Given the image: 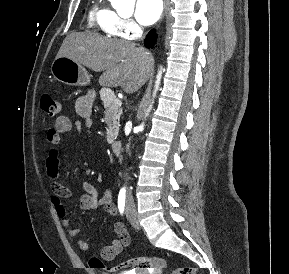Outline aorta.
I'll use <instances>...</instances> for the list:
<instances>
[{
	"mask_svg": "<svg viewBox=\"0 0 289 274\" xmlns=\"http://www.w3.org/2000/svg\"><path fill=\"white\" fill-rule=\"evenodd\" d=\"M113 7L120 9L123 7H127V6H131L132 1L134 0H110ZM160 78H161V72L159 73L158 77H157V81H156V90L158 88V85L160 83ZM139 131L143 130V125L138 127Z\"/></svg>",
	"mask_w": 289,
	"mask_h": 274,
	"instance_id": "obj_1",
	"label": "aorta"
}]
</instances>
